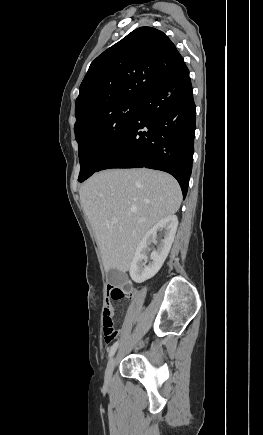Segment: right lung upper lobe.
<instances>
[{"instance_id": "cb5924a9", "label": "right lung upper lobe", "mask_w": 263, "mask_h": 435, "mask_svg": "<svg viewBox=\"0 0 263 435\" xmlns=\"http://www.w3.org/2000/svg\"><path fill=\"white\" fill-rule=\"evenodd\" d=\"M182 65L183 57L162 31L152 27L132 31L91 63L76 99L74 128L105 105L143 100Z\"/></svg>"}]
</instances>
